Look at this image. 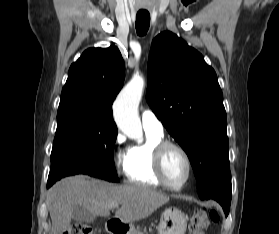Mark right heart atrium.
I'll list each match as a JSON object with an SVG mask.
<instances>
[{
    "label": "right heart atrium",
    "instance_id": "1",
    "mask_svg": "<svg viewBox=\"0 0 279 234\" xmlns=\"http://www.w3.org/2000/svg\"><path fill=\"white\" fill-rule=\"evenodd\" d=\"M123 143H124V137L121 134H117V136L114 140L115 146L120 147V146H122Z\"/></svg>",
    "mask_w": 279,
    "mask_h": 234
}]
</instances>
